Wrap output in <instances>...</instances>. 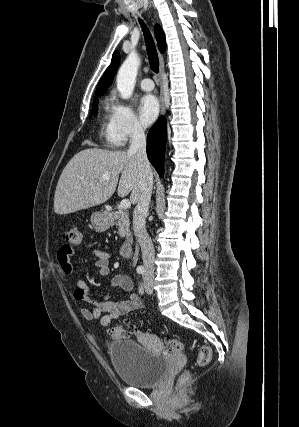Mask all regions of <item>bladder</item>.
<instances>
[{
    "label": "bladder",
    "mask_w": 299,
    "mask_h": 427,
    "mask_svg": "<svg viewBox=\"0 0 299 427\" xmlns=\"http://www.w3.org/2000/svg\"><path fill=\"white\" fill-rule=\"evenodd\" d=\"M109 356L117 376L138 388L155 386L165 377L169 367L164 355L154 354L132 339L110 343Z\"/></svg>",
    "instance_id": "obj_1"
}]
</instances>
